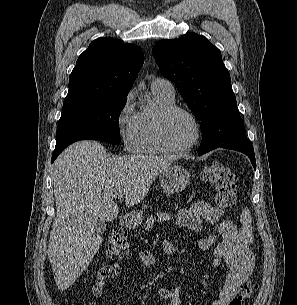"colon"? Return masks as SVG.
<instances>
[{"label": "colon", "mask_w": 297, "mask_h": 305, "mask_svg": "<svg viewBox=\"0 0 297 305\" xmlns=\"http://www.w3.org/2000/svg\"><path fill=\"white\" fill-rule=\"evenodd\" d=\"M201 178L205 182L214 184V205L218 212H226L234 206L238 189L237 174L234 170L221 162H214L203 169ZM127 246L126 232L118 229L108 238L107 252L113 258H120L126 252ZM256 289V282L248 281L241 287L230 305H246Z\"/></svg>", "instance_id": "5ec220e1"}]
</instances>
